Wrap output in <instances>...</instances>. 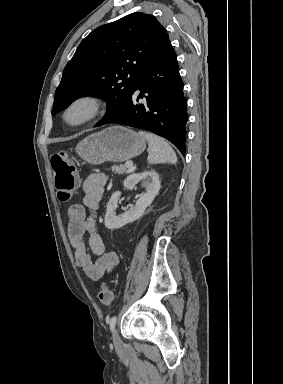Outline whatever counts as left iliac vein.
Masks as SVG:
<instances>
[{
  "mask_svg": "<svg viewBox=\"0 0 283 384\" xmlns=\"http://www.w3.org/2000/svg\"><path fill=\"white\" fill-rule=\"evenodd\" d=\"M112 338H113V343H114L115 349L117 351H122L123 350V342H122L121 338L119 337V334H118L116 329L113 331Z\"/></svg>",
  "mask_w": 283,
  "mask_h": 384,
  "instance_id": "obj_1",
  "label": "left iliac vein"
}]
</instances>
